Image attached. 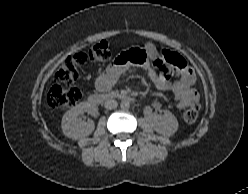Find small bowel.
<instances>
[{
  "label": "small bowel",
  "instance_id": "small-bowel-1",
  "mask_svg": "<svg viewBox=\"0 0 248 194\" xmlns=\"http://www.w3.org/2000/svg\"><path fill=\"white\" fill-rule=\"evenodd\" d=\"M156 53L159 54L161 64H158L157 59L154 58ZM132 66L147 71L150 81L157 88L171 90L179 109L187 108L199 101V94L193 86L195 80L193 69L179 54L168 51L167 55H163L151 43L144 45L142 54L135 61L126 60L124 55L118 57L97 78L96 89L101 92L107 91L121 76L129 73ZM174 74L176 79L172 80ZM154 106L159 107V104L155 103Z\"/></svg>",
  "mask_w": 248,
  "mask_h": 194
}]
</instances>
